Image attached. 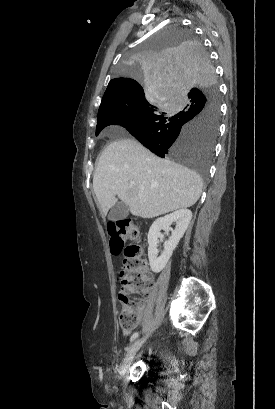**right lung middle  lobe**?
Listing matches in <instances>:
<instances>
[{"instance_id": "dd1d6c3e", "label": "right lung middle lobe", "mask_w": 275, "mask_h": 409, "mask_svg": "<svg viewBox=\"0 0 275 409\" xmlns=\"http://www.w3.org/2000/svg\"><path fill=\"white\" fill-rule=\"evenodd\" d=\"M115 73L142 79L145 96L121 100L98 113L96 136L110 125L125 127L161 158L209 176L218 132V86L204 41L182 24H165L126 50ZM203 187L202 183L198 184Z\"/></svg>"}]
</instances>
